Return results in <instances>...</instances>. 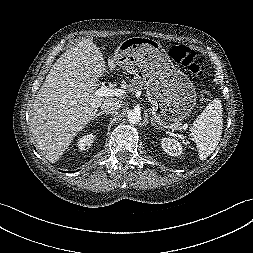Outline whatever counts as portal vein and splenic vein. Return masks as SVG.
Masks as SVG:
<instances>
[{
    "mask_svg": "<svg viewBox=\"0 0 253 253\" xmlns=\"http://www.w3.org/2000/svg\"><path fill=\"white\" fill-rule=\"evenodd\" d=\"M95 94L97 96H102V97H119L123 95V91L120 89H109L105 84H102L101 87L96 90ZM184 127H187V125H185Z\"/></svg>",
    "mask_w": 253,
    "mask_h": 253,
    "instance_id": "portal-vein-and-splenic-vein-1",
    "label": "portal vein and splenic vein"
}]
</instances>
